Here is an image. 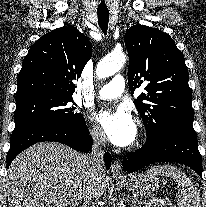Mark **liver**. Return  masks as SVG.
<instances>
[{
  "mask_svg": "<svg viewBox=\"0 0 206 207\" xmlns=\"http://www.w3.org/2000/svg\"><path fill=\"white\" fill-rule=\"evenodd\" d=\"M88 156L56 142H41L19 154L6 176L9 207H78L88 191ZM102 174L97 196L106 191Z\"/></svg>",
  "mask_w": 206,
  "mask_h": 207,
  "instance_id": "1",
  "label": "liver"
}]
</instances>
